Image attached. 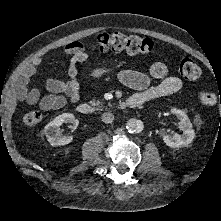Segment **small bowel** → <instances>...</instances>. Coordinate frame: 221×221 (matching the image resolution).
I'll use <instances>...</instances> for the list:
<instances>
[{"mask_svg":"<svg viewBox=\"0 0 221 221\" xmlns=\"http://www.w3.org/2000/svg\"><path fill=\"white\" fill-rule=\"evenodd\" d=\"M65 54L71 57L66 79L50 78L46 81V89L50 94L41 96L38 89H28L27 85L35 75L42 58L38 57L26 64L17 79L19 95L27 103L38 105L42 110H56L65 106L66 97L76 103L79 98V70L78 64L88 59L84 46L80 42H71L64 47ZM160 80L151 86L152 80ZM119 80L127 87L136 90L134 95L144 98L145 102L166 97L178 92L182 88V81L176 76L168 75L165 64L155 62L150 66L149 74L134 70H123L119 73Z\"/></svg>","mask_w":221,"mask_h":221,"instance_id":"obj_1","label":"small bowel"}]
</instances>
